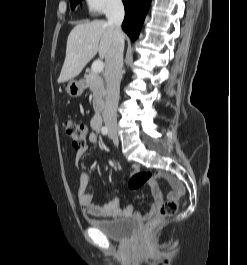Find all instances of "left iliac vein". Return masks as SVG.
<instances>
[{"label": "left iliac vein", "mask_w": 247, "mask_h": 265, "mask_svg": "<svg viewBox=\"0 0 247 265\" xmlns=\"http://www.w3.org/2000/svg\"><path fill=\"white\" fill-rule=\"evenodd\" d=\"M109 137L113 140L115 145H118L119 139L116 133L110 132Z\"/></svg>", "instance_id": "left-iliac-vein-1"}]
</instances>
